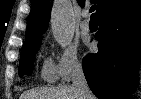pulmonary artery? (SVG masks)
I'll list each match as a JSON object with an SVG mask.
<instances>
[{
	"instance_id": "e3ab8cb5",
	"label": "pulmonary artery",
	"mask_w": 141,
	"mask_h": 99,
	"mask_svg": "<svg viewBox=\"0 0 141 99\" xmlns=\"http://www.w3.org/2000/svg\"><path fill=\"white\" fill-rule=\"evenodd\" d=\"M84 20L80 24V28L84 32H88L90 30V22H89V13L87 10H84L82 13Z\"/></svg>"
}]
</instances>
